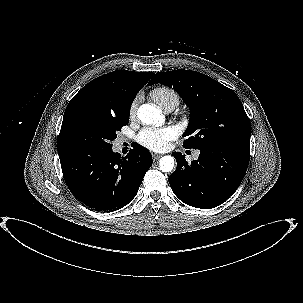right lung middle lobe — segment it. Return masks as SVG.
<instances>
[{
	"mask_svg": "<svg viewBox=\"0 0 303 303\" xmlns=\"http://www.w3.org/2000/svg\"><path fill=\"white\" fill-rule=\"evenodd\" d=\"M129 122L90 106H78L64 115L58 136V154L67 156L92 154L112 148L117 132Z\"/></svg>",
	"mask_w": 303,
	"mask_h": 303,
	"instance_id": "right-lung-middle-lobe-1",
	"label": "right lung middle lobe"
}]
</instances>
